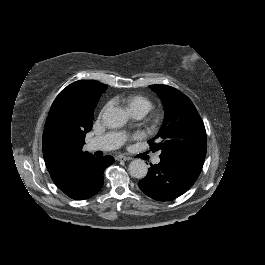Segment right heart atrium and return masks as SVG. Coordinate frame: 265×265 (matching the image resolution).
<instances>
[{
    "label": "right heart atrium",
    "instance_id": "right-heart-atrium-1",
    "mask_svg": "<svg viewBox=\"0 0 265 265\" xmlns=\"http://www.w3.org/2000/svg\"><path fill=\"white\" fill-rule=\"evenodd\" d=\"M111 105V102L106 103L101 109L100 115L102 116L111 107Z\"/></svg>",
    "mask_w": 265,
    "mask_h": 265
}]
</instances>
